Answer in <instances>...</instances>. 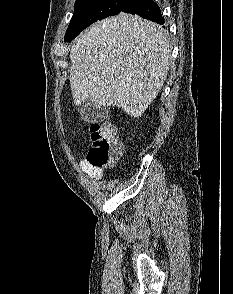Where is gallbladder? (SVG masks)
<instances>
[{"mask_svg": "<svg viewBox=\"0 0 233 294\" xmlns=\"http://www.w3.org/2000/svg\"><path fill=\"white\" fill-rule=\"evenodd\" d=\"M79 112L82 118L88 122L98 120L97 108L92 103L90 98L81 103L79 107Z\"/></svg>", "mask_w": 233, "mask_h": 294, "instance_id": "gallbladder-1", "label": "gallbladder"}]
</instances>
